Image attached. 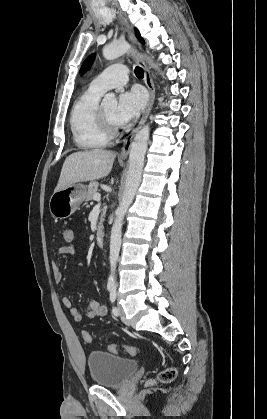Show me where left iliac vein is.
Masks as SVG:
<instances>
[{
	"label": "left iliac vein",
	"mask_w": 267,
	"mask_h": 419,
	"mask_svg": "<svg viewBox=\"0 0 267 419\" xmlns=\"http://www.w3.org/2000/svg\"><path fill=\"white\" fill-rule=\"evenodd\" d=\"M118 311H119V315H120V317H121V320L126 324V325H128L129 324V322L127 321V319H126V317H125V314H124V310H123V308L119 305L118 306Z\"/></svg>",
	"instance_id": "left-iliac-vein-1"
}]
</instances>
